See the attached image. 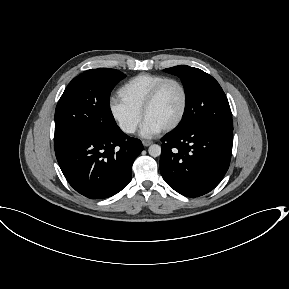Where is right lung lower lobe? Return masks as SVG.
<instances>
[{
    "label": "right lung lower lobe",
    "mask_w": 289,
    "mask_h": 289,
    "mask_svg": "<svg viewBox=\"0 0 289 289\" xmlns=\"http://www.w3.org/2000/svg\"><path fill=\"white\" fill-rule=\"evenodd\" d=\"M142 149L140 140L127 136L117 126L79 137L55 149V154L65 178L78 193L103 199L129 184L132 164Z\"/></svg>",
    "instance_id": "obj_1"
}]
</instances>
